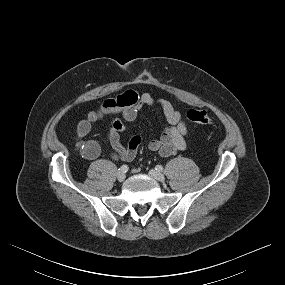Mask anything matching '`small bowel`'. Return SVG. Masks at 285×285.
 <instances>
[{
  "label": "small bowel",
  "instance_id": "obj_1",
  "mask_svg": "<svg viewBox=\"0 0 285 285\" xmlns=\"http://www.w3.org/2000/svg\"><path fill=\"white\" fill-rule=\"evenodd\" d=\"M144 106L158 107L163 112L168 124L158 138L149 142V149L162 157H169L184 150L188 128L181 113L167 99L154 97L149 93L139 94L133 90L125 91L115 98L107 99L99 108L87 113L77 126V149L86 159H96L100 154L99 144L93 140L85 141L83 139L89 134L94 123L106 116H112L113 122L109 129V141L113 148L111 157L115 160L131 161L137 154L141 138L133 136L128 146H123L120 141V135L126 128L123 120L134 121L138 111Z\"/></svg>",
  "mask_w": 285,
  "mask_h": 285
}]
</instances>
